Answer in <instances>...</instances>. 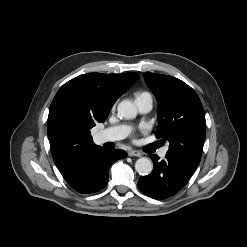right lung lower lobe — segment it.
Segmentation results:
<instances>
[{"mask_svg": "<svg viewBox=\"0 0 247 247\" xmlns=\"http://www.w3.org/2000/svg\"><path fill=\"white\" fill-rule=\"evenodd\" d=\"M125 157L127 153L123 150L110 151L99 147L77 158L62 175L79 193L98 192L108 183L111 164Z\"/></svg>", "mask_w": 247, "mask_h": 247, "instance_id": "98d812e1", "label": "right lung lower lobe"}]
</instances>
